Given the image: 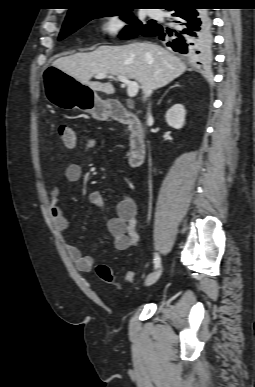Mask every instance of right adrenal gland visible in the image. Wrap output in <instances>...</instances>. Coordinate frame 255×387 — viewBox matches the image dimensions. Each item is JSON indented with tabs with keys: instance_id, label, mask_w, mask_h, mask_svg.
<instances>
[{
	"instance_id": "right-adrenal-gland-1",
	"label": "right adrenal gland",
	"mask_w": 255,
	"mask_h": 387,
	"mask_svg": "<svg viewBox=\"0 0 255 387\" xmlns=\"http://www.w3.org/2000/svg\"><path fill=\"white\" fill-rule=\"evenodd\" d=\"M174 87H179V84L176 83V84H174L173 86H171L169 89H172V88H174ZM169 89H168V90L164 93V95L161 97V99H160L159 102H158V105L161 103L163 97L168 93Z\"/></svg>"
}]
</instances>
